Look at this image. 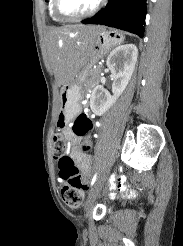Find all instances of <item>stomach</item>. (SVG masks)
<instances>
[{"label": "stomach", "mask_w": 183, "mask_h": 246, "mask_svg": "<svg viewBox=\"0 0 183 246\" xmlns=\"http://www.w3.org/2000/svg\"><path fill=\"white\" fill-rule=\"evenodd\" d=\"M124 40L122 33L102 27L93 42L88 61L81 67L79 74V83L84 82L89 74L91 64L99 57L106 54L113 46ZM77 84H65L60 92V111L57 118L59 128L66 127L80 110L79 100L81 88Z\"/></svg>", "instance_id": "obj_1"}]
</instances>
